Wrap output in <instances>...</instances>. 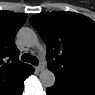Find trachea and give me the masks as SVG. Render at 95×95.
<instances>
[{
	"instance_id": "obj_1",
	"label": "trachea",
	"mask_w": 95,
	"mask_h": 95,
	"mask_svg": "<svg viewBox=\"0 0 95 95\" xmlns=\"http://www.w3.org/2000/svg\"><path fill=\"white\" fill-rule=\"evenodd\" d=\"M24 62H30L33 65H38V58L36 56H31L29 53H25L22 56Z\"/></svg>"
}]
</instances>
